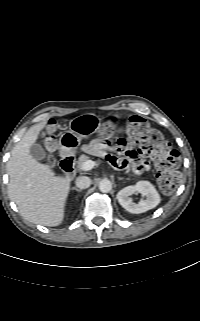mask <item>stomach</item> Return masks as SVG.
<instances>
[{"label": "stomach", "instance_id": "stomach-1", "mask_svg": "<svg viewBox=\"0 0 200 321\" xmlns=\"http://www.w3.org/2000/svg\"><path fill=\"white\" fill-rule=\"evenodd\" d=\"M117 118L111 117L109 125H115ZM100 126V119L92 114H82L69 123V131L60 138V146L65 151L74 152L81 143L82 138H86Z\"/></svg>", "mask_w": 200, "mask_h": 321}]
</instances>
